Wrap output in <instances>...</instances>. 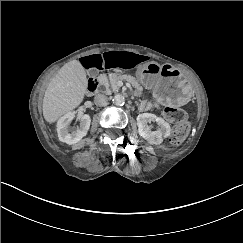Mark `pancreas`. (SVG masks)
<instances>
[{
	"mask_svg": "<svg viewBox=\"0 0 243 243\" xmlns=\"http://www.w3.org/2000/svg\"><path fill=\"white\" fill-rule=\"evenodd\" d=\"M98 80L102 84L105 83V85L108 87L111 86L113 92H117L119 90L117 83L120 80H127L128 83L132 82L136 89L142 90V87L137 82L136 78L134 76H131L130 74L120 75L118 73H107L105 75H100L98 77Z\"/></svg>",
	"mask_w": 243,
	"mask_h": 243,
	"instance_id": "1",
	"label": "pancreas"
}]
</instances>
